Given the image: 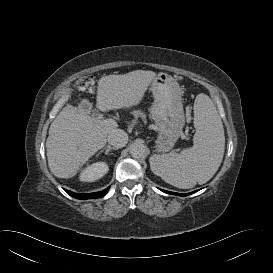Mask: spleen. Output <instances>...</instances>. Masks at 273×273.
Instances as JSON below:
<instances>
[{
	"label": "spleen",
	"mask_w": 273,
	"mask_h": 273,
	"mask_svg": "<svg viewBox=\"0 0 273 273\" xmlns=\"http://www.w3.org/2000/svg\"><path fill=\"white\" fill-rule=\"evenodd\" d=\"M193 146L180 153L150 157V168L165 182L189 189L209 181L218 170L225 149L222 120L212 100L199 94L194 102Z\"/></svg>",
	"instance_id": "3e777b00"
}]
</instances>
